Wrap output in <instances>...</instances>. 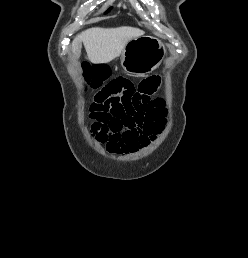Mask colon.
<instances>
[{"mask_svg":"<svg viewBox=\"0 0 248 258\" xmlns=\"http://www.w3.org/2000/svg\"><path fill=\"white\" fill-rule=\"evenodd\" d=\"M84 70L91 85L98 87L103 84L105 76L100 65L87 63ZM90 115L93 119L92 128L101 127L105 133L121 129L128 118L127 113L120 112L115 100L99 95L90 107Z\"/></svg>","mask_w":248,"mask_h":258,"instance_id":"5ec220e1","label":"colon"}]
</instances>
